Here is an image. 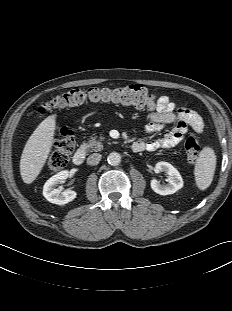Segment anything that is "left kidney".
Instances as JSON below:
<instances>
[{"label": "left kidney", "mask_w": 232, "mask_h": 311, "mask_svg": "<svg viewBox=\"0 0 232 311\" xmlns=\"http://www.w3.org/2000/svg\"><path fill=\"white\" fill-rule=\"evenodd\" d=\"M156 171L164 172L168 175V183L161 185L156 179L151 181V188L160 195L173 194L183 187V179L179 171L168 162H158Z\"/></svg>", "instance_id": "5707ae66"}]
</instances>
